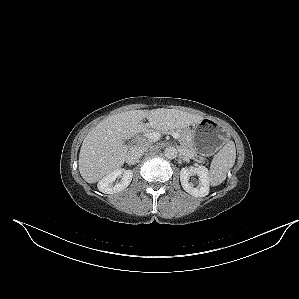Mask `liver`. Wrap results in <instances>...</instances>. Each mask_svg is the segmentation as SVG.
Returning <instances> with one entry per match:
<instances>
[{"label": "liver", "instance_id": "obj_1", "mask_svg": "<svg viewBox=\"0 0 299 299\" xmlns=\"http://www.w3.org/2000/svg\"><path fill=\"white\" fill-rule=\"evenodd\" d=\"M149 121L144 124L142 120ZM204 119L201 115L175 109L131 110L103 119L83 140L79 154V171L88 183H96L119 169L127 157L130 139L151 127L156 130L185 128Z\"/></svg>", "mask_w": 299, "mask_h": 299}]
</instances>
